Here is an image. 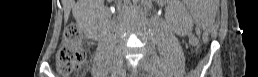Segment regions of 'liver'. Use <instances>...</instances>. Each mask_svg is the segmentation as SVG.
<instances>
[{
	"label": "liver",
	"mask_w": 258,
	"mask_h": 77,
	"mask_svg": "<svg viewBox=\"0 0 258 77\" xmlns=\"http://www.w3.org/2000/svg\"><path fill=\"white\" fill-rule=\"evenodd\" d=\"M61 2L64 8L65 18H68L72 8L76 7L77 9H81L82 6H86V3L93 5L103 3L102 0H79L77 4L75 3V0H62ZM74 16L77 17L76 10L74 11Z\"/></svg>",
	"instance_id": "liver-1"
}]
</instances>
